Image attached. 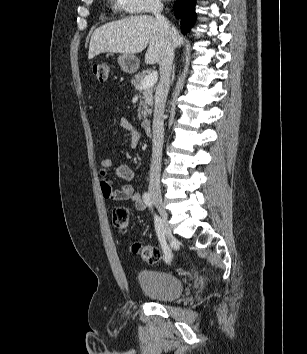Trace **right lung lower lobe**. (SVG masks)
I'll return each mask as SVG.
<instances>
[{"label":"right lung lower lobe","mask_w":307,"mask_h":354,"mask_svg":"<svg viewBox=\"0 0 307 354\" xmlns=\"http://www.w3.org/2000/svg\"><path fill=\"white\" fill-rule=\"evenodd\" d=\"M196 0H177L174 4V14L181 20V30L186 33L195 22Z\"/></svg>","instance_id":"1"}]
</instances>
